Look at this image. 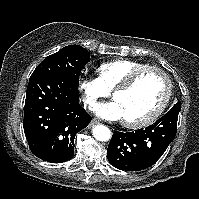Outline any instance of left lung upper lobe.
<instances>
[{
  "label": "left lung upper lobe",
  "mask_w": 199,
  "mask_h": 199,
  "mask_svg": "<svg viewBox=\"0 0 199 199\" xmlns=\"http://www.w3.org/2000/svg\"><path fill=\"white\" fill-rule=\"evenodd\" d=\"M172 109H176V110H181V102L180 101H178L173 107H172Z\"/></svg>",
  "instance_id": "1"
}]
</instances>
